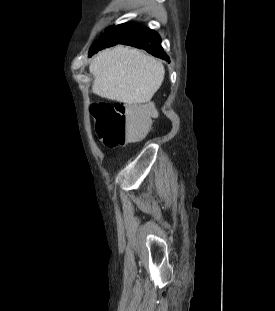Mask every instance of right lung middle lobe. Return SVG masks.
Here are the masks:
<instances>
[{"label":"right lung middle lobe","mask_w":275,"mask_h":311,"mask_svg":"<svg viewBox=\"0 0 275 311\" xmlns=\"http://www.w3.org/2000/svg\"><path fill=\"white\" fill-rule=\"evenodd\" d=\"M138 27L139 25L133 23H124L115 27H109L107 31L100 36L99 40H97L91 47L89 51L90 56L104 48L120 44L127 37L133 34Z\"/></svg>","instance_id":"right-lung-middle-lobe-1"}]
</instances>
